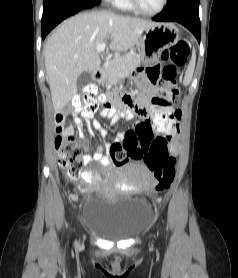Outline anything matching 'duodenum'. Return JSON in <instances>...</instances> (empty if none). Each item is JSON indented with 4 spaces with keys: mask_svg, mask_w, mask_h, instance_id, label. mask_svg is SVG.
<instances>
[{
    "mask_svg": "<svg viewBox=\"0 0 238 278\" xmlns=\"http://www.w3.org/2000/svg\"><path fill=\"white\" fill-rule=\"evenodd\" d=\"M93 77L96 81L101 82L104 79V71L102 68H97L94 71Z\"/></svg>",
    "mask_w": 238,
    "mask_h": 278,
    "instance_id": "1",
    "label": "duodenum"
}]
</instances>
